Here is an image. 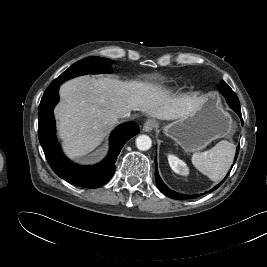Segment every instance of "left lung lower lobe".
Segmentation results:
<instances>
[{
	"label": "left lung lower lobe",
	"mask_w": 267,
	"mask_h": 267,
	"mask_svg": "<svg viewBox=\"0 0 267 267\" xmlns=\"http://www.w3.org/2000/svg\"><path fill=\"white\" fill-rule=\"evenodd\" d=\"M220 92L225 96L227 103L229 104V106L240 116L241 120H242V115H241V109H240V103H239V99L237 97V95L232 91V89L230 87H228L227 89L222 88L219 89ZM243 124V121H242ZM238 151H239V146L237 147L236 150V156H235V160L237 158L238 155ZM155 164H156V169H155V178H156V184L159 188V190L165 194L166 196L173 198V199H185V198H189V195H184V194H180L177 193L175 191L170 190L161 180L159 174H158V170H157V158L155 159ZM229 174V173H228ZM227 174V175H228ZM227 178V176L224 178V180ZM223 183V181L218 184L214 190L216 188H218L221 184ZM202 195V194H201ZM200 195H194L191 196V198H196L199 197Z\"/></svg>",
	"instance_id": "obj_1"
}]
</instances>
